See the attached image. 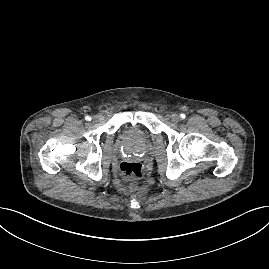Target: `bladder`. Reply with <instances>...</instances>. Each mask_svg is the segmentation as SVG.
<instances>
[{
	"label": "bladder",
	"mask_w": 269,
	"mask_h": 269,
	"mask_svg": "<svg viewBox=\"0 0 269 269\" xmlns=\"http://www.w3.org/2000/svg\"><path fill=\"white\" fill-rule=\"evenodd\" d=\"M126 137H128V138H133V134H132L131 132H127V133H126Z\"/></svg>",
	"instance_id": "1"
}]
</instances>
